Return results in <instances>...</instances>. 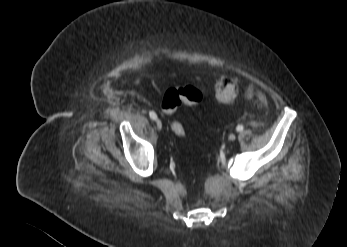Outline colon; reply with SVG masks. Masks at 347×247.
<instances>
[{"instance_id":"obj_1","label":"colon","mask_w":347,"mask_h":247,"mask_svg":"<svg viewBox=\"0 0 347 247\" xmlns=\"http://www.w3.org/2000/svg\"><path fill=\"white\" fill-rule=\"evenodd\" d=\"M237 95L236 84L228 79H219L215 84V98L223 104H230ZM248 96L255 101L258 107L263 108L266 104L265 97L253 88L248 90ZM203 99L202 93L194 86L187 85L183 87H174L169 89L162 101V109L168 115H173L183 105H196ZM173 134L178 138L186 136L184 125L173 119L170 123Z\"/></svg>"}]
</instances>
